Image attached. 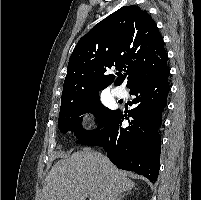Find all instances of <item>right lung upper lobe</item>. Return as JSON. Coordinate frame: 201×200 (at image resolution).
Instances as JSON below:
<instances>
[{
  "mask_svg": "<svg viewBox=\"0 0 201 200\" xmlns=\"http://www.w3.org/2000/svg\"><path fill=\"white\" fill-rule=\"evenodd\" d=\"M125 71L130 89L168 68L164 42L155 21L136 5L124 6L95 25L69 58L61 102L99 93L115 80L109 70Z\"/></svg>",
  "mask_w": 201,
  "mask_h": 200,
  "instance_id": "right-lung-upper-lobe-1",
  "label": "right lung upper lobe"
}]
</instances>
